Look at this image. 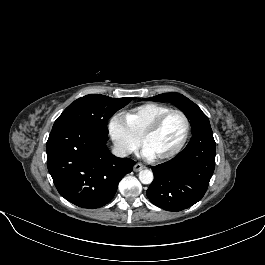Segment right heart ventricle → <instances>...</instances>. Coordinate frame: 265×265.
Instances as JSON below:
<instances>
[{
	"label": "right heart ventricle",
	"instance_id": "e07e8e85",
	"mask_svg": "<svg viewBox=\"0 0 265 265\" xmlns=\"http://www.w3.org/2000/svg\"><path fill=\"white\" fill-rule=\"evenodd\" d=\"M169 109L157 103H144L125 112L124 118L130 129L140 137L159 115Z\"/></svg>",
	"mask_w": 265,
	"mask_h": 265
}]
</instances>
